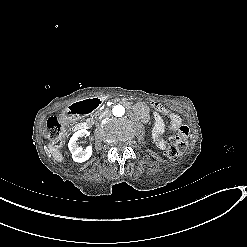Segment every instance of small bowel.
Returning <instances> with one entry per match:
<instances>
[{
  "label": "small bowel",
  "instance_id": "1",
  "mask_svg": "<svg viewBox=\"0 0 247 247\" xmlns=\"http://www.w3.org/2000/svg\"><path fill=\"white\" fill-rule=\"evenodd\" d=\"M155 118L158 119L159 117L155 116ZM170 120H171L170 129L172 131H178L180 127L182 126L181 118L179 117V115L176 113L170 114ZM154 139H155L156 146L159 149L163 150L166 148V140L164 139L161 133H156L154 136Z\"/></svg>",
  "mask_w": 247,
  "mask_h": 247
}]
</instances>
